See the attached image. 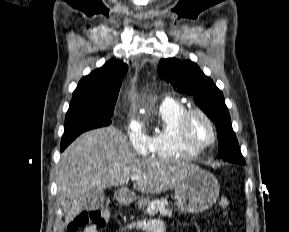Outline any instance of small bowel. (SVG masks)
Instances as JSON below:
<instances>
[{
  "instance_id": "obj_1",
  "label": "small bowel",
  "mask_w": 289,
  "mask_h": 232,
  "mask_svg": "<svg viewBox=\"0 0 289 232\" xmlns=\"http://www.w3.org/2000/svg\"><path fill=\"white\" fill-rule=\"evenodd\" d=\"M129 229H139L144 232H166V226L161 220H152L146 224H128L120 231L123 232ZM83 232H99V229L94 225H89L84 228Z\"/></svg>"
}]
</instances>
